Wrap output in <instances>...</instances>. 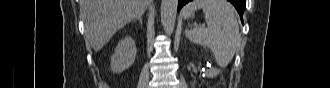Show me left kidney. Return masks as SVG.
<instances>
[{
  "mask_svg": "<svg viewBox=\"0 0 330 88\" xmlns=\"http://www.w3.org/2000/svg\"><path fill=\"white\" fill-rule=\"evenodd\" d=\"M215 75H216V70L215 69H211L209 72H207L208 77H213Z\"/></svg>",
  "mask_w": 330,
  "mask_h": 88,
  "instance_id": "obj_1",
  "label": "left kidney"
}]
</instances>
